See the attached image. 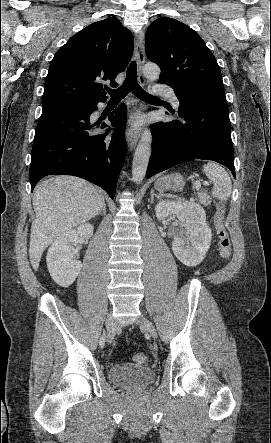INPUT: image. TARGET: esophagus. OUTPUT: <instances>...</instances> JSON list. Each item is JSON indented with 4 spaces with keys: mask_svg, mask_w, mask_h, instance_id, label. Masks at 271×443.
Listing matches in <instances>:
<instances>
[{
    "mask_svg": "<svg viewBox=\"0 0 271 443\" xmlns=\"http://www.w3.org/2000/svg\"><path fill=\"white\" fill-rule=\"evenodd\" d=\"M134 57L138 67V80L141 85H145V78L142 68L145 63V40L144 33L140 31L134 41ZM141 131V123L138 120H129L126 128V141L129 148L137 145Z\"/></svg>",
    "mask_w": 271,
    "mask_h": 443,
    "instance_id": "34e87169",
    "label": "esophagus"
}]
</instances>
